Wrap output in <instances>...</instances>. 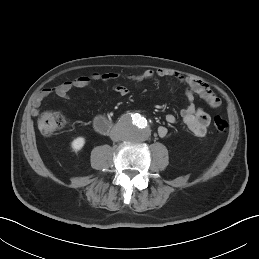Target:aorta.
Here are the masks:
<instances>
[{
  "label": "aorta",
  "mask_w": 259,
  "mask_h": 259,
  "mask_svg": "<svg viewBox=\"0 0 259 259\" xmlns=\"http://www.w3.org/2000/svg\"><path fill=\"white\" fill-rule=\"evenodd\" d=\"M122 136L131 142H142L150 135L146 118L140 114H129L121 123Z\"/></svg>",
  "instance_id": "aorta-1"
}]
</instances>
